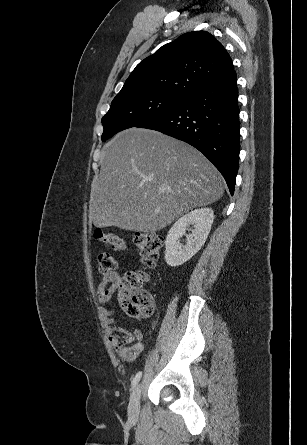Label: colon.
<instances>
[{
  "label": "colon",
  "instance_id": "colon-1",
  "mask_svg": "<svg viewBox=\"0 0 307 445\" xmlns=\"http://www.w3.org/2000/svg\"><path fill=\"white\" fill-rule=\"evenodd\" d=\"M94 238L110 246L115 251H122L126 247L123 238L115 233L96 229ZM134 244L139 252L143 268L128 271L116 288L118 300L124 313L134 319H145L154 311V301L151 294L142 288L148 279L146 269L155 265L163 246V239L151 232H138ZM99 269L102 273L115 271L118 267L116 258L107 252H101L97 257Z\"/></svg>",
  "mask_w": 307,
  "mask_h": 445
}]
</instances>
